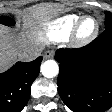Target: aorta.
Returning a JSON list of instances; mask_svg holds the SVG:
<instances>
[{
  "label": "aorta",
  "mask_w": 112,
  "mask_h": 112,
  "mask_svg": "<svg viewBox=\"0 0 112 112\" xmlns=\"http://www.w3.org/2000/svg\"><path fill=\"white\" fill-rule=\"evenodd\" d=\"M40 71L46 78H53L59 73V66L55 60H46L41 64Z\"/></svg>",
  "instance_id": "762f6f07"
}]
</instances>
